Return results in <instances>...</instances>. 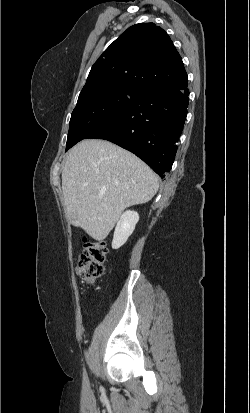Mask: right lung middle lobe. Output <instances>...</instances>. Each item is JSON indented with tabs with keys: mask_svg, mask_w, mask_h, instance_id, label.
I'll return each instance as SVG.
<instances>
[{
	"mask_svg": "<svg viewBox=\"0 0 250 413\" xmlns=\"http://www.w3.org/2000/svg\"><path fill=\"white\" fill-rule=\"evenodd\" d=\"M140 93L124 85H95L82 89L71 115L66 151L113 119Z\"/></svg>",
	"mask_w": 250,
	"mask_h": 413,
	"instance_id": "dd1d6c3e",
	"label": "right lung middle lobe"
}]
</instances>
